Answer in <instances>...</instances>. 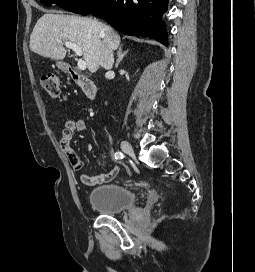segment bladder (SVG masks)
Returning <instances> with one entry per match:
<instances>
[{
  "mask_svg": "<svg viewBox=\"0 0 255 272\" xmlns=\"http://www.w3.org/2000/svg\"><path fill=\"white\" fill-rule=\"evenodd\" d=\"M89 202L104 215H119L136 205L135 193L118 184H104L92 189Z\"/></svg>",
  "mask_w": 255,
  "mask_h": 272,
  "instance_id": "obj_1",
  "label": "bladder"
}]
</instances>
